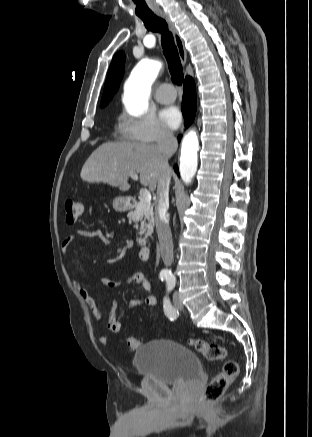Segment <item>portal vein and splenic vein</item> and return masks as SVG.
Returning <instances> with one entry per match:
<instances>
[{
	"mask_svg": "<svg viewBox=\"0 0 312 437\" xmlns=\"http://www.w3.org/2000/svg\"><path fill=\"white\" fill-rule=\"evenodd\" d=\"M130 177L133 180H138V175L137 174L132 173V174H130ZM140 196H141V200H144V201H146L148 203L151 201V194H150V192L147 189H143V188L140 189Z\"/></svg>",
	"mask_w": 312,
	"mask_h": 437,
	"instance_id": "1",
	"label": "portal vein and splenic vein"
}]
</instances>
